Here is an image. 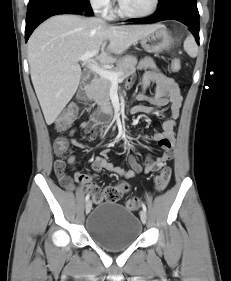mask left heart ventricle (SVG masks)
Returning <instances> with one entry per match:
<instances>
[{"label":"left heart ventricle","instance_id":"left-heart-ventricle-1","mask_svg":"<svg viewBox=\"0 0 231 281\" xmlns=\"http://www.w3.org/2000/svg\"><path fill=\"white\" fill-rule=\"evenodd\" d=\"M121 1L127 10L136 13L146 12L153 5V0H121Z\"/></svg>","mask_w":231,"mask_h":281}]
</instances>
